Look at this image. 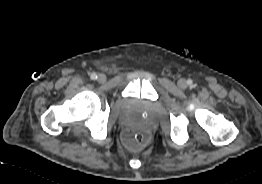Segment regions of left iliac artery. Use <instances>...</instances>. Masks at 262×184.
<instances>
[{"label": "left iliac artery", "instance_id": "left-iliac-artery-1", "mask_svg": "<svg viewBox=\"0 0 262 184\" xmlns=\"http://www.w3.org/2000/svg\"><path fill=\"white\" fill-rule=\"evenodd\" d=\"M188 84H189V85H191V84H192V81H191V80H189V81H188Z\"/></svg>", "mask_w": 262, "mask_h": 184}]
</instances>
